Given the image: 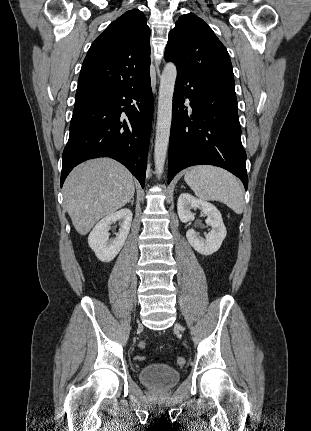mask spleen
<instances>
[{
  "label": "spleen",
  "mask_w": 311,
  "mask_h": 431,
  "mask_svg": "<svg viewBox=\"0 0 311 431\" xmlns=\"http://www.w3.org/2000/svg\"><path fill=\"white\" fill-rule=\"evenodd\" d=\"M184 180L200 200L223 202L235 214H242L245 204L242 188L230 172L215 166H195L186 172Z\"/></svg>",
  "instance_id": "obj_1"
}]
</instances>
